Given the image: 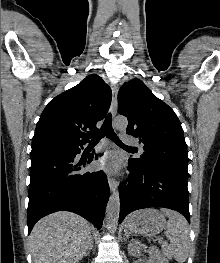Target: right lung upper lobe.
I'll return each mask as SVG.
<instances>
[{
  "mask_svg": "<svg viewBox=\"0 0 220 263\" xmlns=\"http://www.w3.org/2000/svg\"><path fill=\"white\" fill-rule=\"evenodd\" d=\"M110 87L98 75L87 76L48 103L37 123L32 150L71 148L88 142L111 103ZM86 130H89L87 133Z\"/></svg>",
  "mask_w": 220,
  "mask_h": 263,
  "instance_id": "cb5924a9",
  "label": "right lung upper lobe"
}]
</instances>
